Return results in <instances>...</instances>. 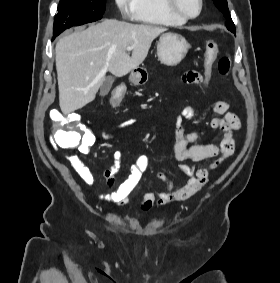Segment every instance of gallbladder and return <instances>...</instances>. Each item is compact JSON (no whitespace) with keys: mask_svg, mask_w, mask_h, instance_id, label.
<instances>
[{"mask_svg":"<svg viewBox=\"0 0 280 283\" xmlns=\"http://www.w3.org/2000/svg\"><path fill=\"white\" fill-rule=\"evenodd\" d=\"M114 83V77L109 75L107 77H105L101 87H100V95L101 96H105L109 93L112 84Z\"/></svg>","mask_w":280,"mask_h":283,"instance_id":"1","label":"gallbladder"}]
</instances>
